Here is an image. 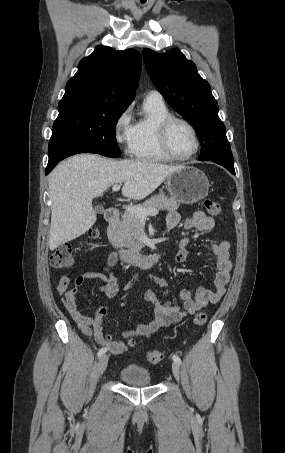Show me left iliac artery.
Returning a JSON list of instances; mask_svg holds the SVG:
<instances>
[{"instance_id":"obj_1","label":"left iliac artery","mask_w":285,"mask_h":453,"mask_svg":"<svg viewBox=\"0 0 285 453\" xmlns=\"http://www.w3.org/2000/svg\"><path fill=\"white\" fill-rule=\"evenodd\" d=\"M172 359H173L176 363L181 364V359L179 358V356L173 355V356H172Z\"/></svg>"}]
</instances>
